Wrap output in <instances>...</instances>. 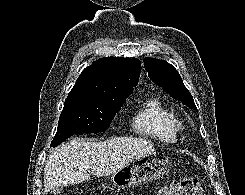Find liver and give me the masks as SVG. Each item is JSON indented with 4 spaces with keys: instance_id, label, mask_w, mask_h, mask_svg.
Masks as SVG:
<instances>
[{
    "instance_id": "1",
    "label": "liver",
    "mask_w": 245,
    "mask_h": 195,
    "mask_svg": "<svg viewBox=\"0 0 245 195\" xmlns=\"http://www.w3.org/2000/svg\"><path fill=\"white\" fill-rule=\"evenodd\" d=\"M154 153L153 144L143 138L115 137L103 142L74 138L50 155L44 169L45 192L87 181L89 169L97 177L108 176L129 162Z\"/></svg>"
}]
</instances>
